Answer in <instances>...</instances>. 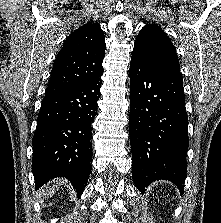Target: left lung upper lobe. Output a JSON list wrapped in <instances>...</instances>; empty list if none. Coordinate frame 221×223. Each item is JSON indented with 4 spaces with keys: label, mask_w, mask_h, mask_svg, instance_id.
I'll return each instance as SVG.
<instances>
[{
    "label": "left lung upper lobe",
    "mask_w": 221,
    "mask_h": 223,
    "mask_svg": "<svg viewBox=\"0 0 221 223\" xmlns=\"http://www.w3.org/2000/svg\"><path fill=\"white\" fill-rule=\"evenodd\" d=\"M132 55L155 67L180 73L175 47L167 34L156 24H148L140 30Z\"/></svg>",
    "instance_id": "5c2ea615"
}]
</instances>
